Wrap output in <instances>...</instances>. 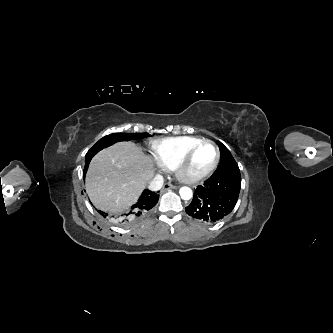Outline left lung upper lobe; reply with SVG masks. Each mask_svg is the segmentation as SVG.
Here are the masks:
<instances>
[{"label": "left lung upper lobe", "instance_id": "1", "mask_svg": "<svg viewBox=\"0 0 333 333\" xmlns=\"http://www.w3.org/2000/svg\"><path fill=\"white\" fill-rule=\"evenodd\" d=\"M218 146L221 152V159L217 170L230 168L234 165H237L230 151L221 142L218 143Z\"/></svg>", "mask_w": 333, "mask_h": 333}]
</instances>
